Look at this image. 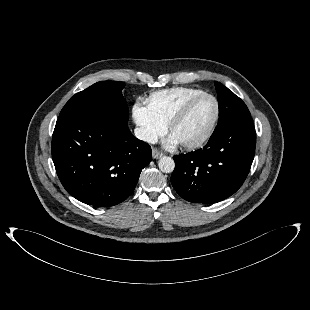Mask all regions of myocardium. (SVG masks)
<instances>
[{
  "label": "myocardium",
  "mask_w": 310,
  "mask_h": 310,
  "mask_svg": "<svg viewBox=\"0 0 310 310\" xmlns=\"http://www.w3.org/2000/svg\"><path fill=\"white\" fill-rule=\"evenodd\" d=\"M203 98H210L214 101L215 104V114L214 117L208 126L207 130L204 132V134L199 137L196 140H193L191 142H181L179 143L180 146L186 150H195L202 146H204L208 140L211 138L212 134L215 131V128L218 124L219 118H220V104L215 96L209 93H202L195 97H192L191 99L187 100L180 108L179 110L174 114V116L171 118V120L168 123V130L172 134L174 128L184 120V118L189 113L192 106L198 102L199 100Z\"/></svg>",
  "instance_id": "1"
}]
</instances>
